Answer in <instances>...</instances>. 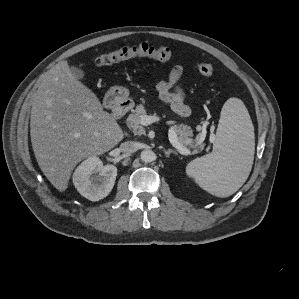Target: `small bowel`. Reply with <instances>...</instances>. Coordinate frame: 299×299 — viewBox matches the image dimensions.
<instances>
[{
  "mask_svg": "<svg viewBox=\"0 0 299 299\" xmlns=\"http://www.w3.org/2000/svg\"><path fill=\"white\" fill-rule=\"evenodd\" d=\"M182 73V66H174L167 81H159L156 83V90L161 100L170 104L175 113L187 117L190 115V109L184 103L183 92L178 85Z\"/></svg>",
  "mask_w": 299,
  "mask_h": 299,
  "instance_id": "1",
  "label": "small bowel"
}]
</instances>
